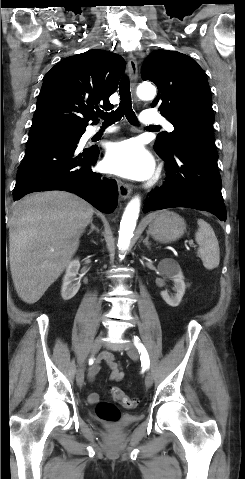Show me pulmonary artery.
<instances>
[{"label":"pulmonary artery","mask_w":245,"mask_h":479,"mask_svg":"<svg viewBox=\"0 0 245 479\" xmlns=\"http://www.w3.org/2000/svg\"><path fill=\"white\" fill-rule=\"evenodd\" d=\"M141 121L144 124H147L149 126L156 127L158 124L164 125L168 131H173L174 127L171 123H169L163 116L158 114L155 110H145L141 114ZM113 128H106V129H101L100 127H94L91 129L90 133L95 134L98 132H103V133H110L113 132Z\"/></svg>","instance_id":"1"}]
</instances>
